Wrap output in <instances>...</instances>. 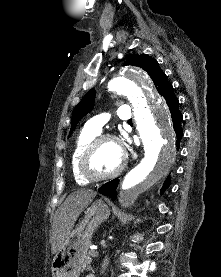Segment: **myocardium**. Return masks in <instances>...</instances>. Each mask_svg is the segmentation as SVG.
<instances>
[{
    "label": "myocardium",
    "instance_id": "myocardium-1",
    "mask_svg": "<svg viewBox=\"0 0 221 277\" xmlns=\"http://www.w3.org/2000/svg\"><path fill=\"white\" fill-rule=\"evenodd\" d=\"M105 141H112L117 143L120 146V141L116 136L111 134H101L96 136L88 144V146L85 148V150L81 155V158L79 161V171H80V174L88 181L96 182V181L112 179L118 176L126 166L127 158H126L125 152L122 150L121 162L115 170H113L110 173L102 174V175L95 174L92 172V170L90 169L91 158L95 153V151L97 150V148Z\"/></svg>",
    "mask_w": 221,
    "mask_h": 277
}]
</instances>
